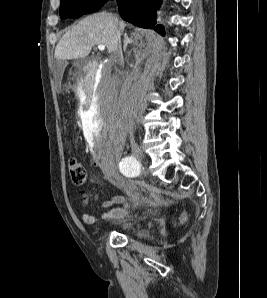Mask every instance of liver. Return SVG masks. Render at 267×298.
<instances>
[{
	"mask_svg": "<svg viewBox=\"0 0 267 298\" xmlns=\"http://www.w3.org/2000/svg\"><path fill=\"white\" fill-rule=\"evenodd\" d=\"M125 28V23L112 14L99 12L82 19L66 32L55 48L57 60L85 58L94 45L106 46L109 53H114L120 45L118 33Z\"/></svg>",
	"mask_w": 267,
	"mask_h": 298,
	"instance_id": "6515ba94",
	"label": "liver"
}]
</instances>
